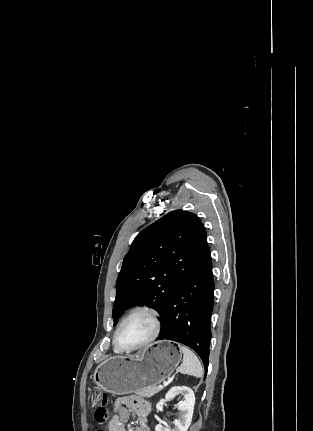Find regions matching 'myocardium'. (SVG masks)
<instances>
[{
    "instance_id": "1",
    "label": "myocardium",
    "mask_w": 313,
    "mask_h": 431,
    "mask_svg": "<svg viewBox=\"0 0 313 431\" xmlns=\"http://www.w3.org/2000/svg\"><path fill=\"white\" fill-rule=\"evenodd\" d=\"M140 313L147 314L151 318L153 325H154L153 332H152L151 336L146 341H144L143 343L136 345L134 347L124 348L119 344V340H118L119 333H120L122 327L124 326V324L129 319H131L133 316L140 314ZM161 328H162L161 318H160L159 313L156 310H154L150 307H147V306L137 307V308L133 309L118 325V327L115 331V334H114V339H113L114 346L120 352H132V351H136V350L145 348V347L149 346L159 336V334L161 332Z\"/></svg>"
}]
</instances>
